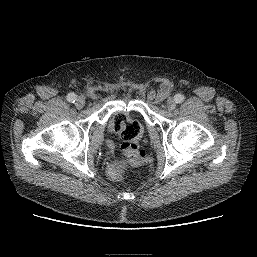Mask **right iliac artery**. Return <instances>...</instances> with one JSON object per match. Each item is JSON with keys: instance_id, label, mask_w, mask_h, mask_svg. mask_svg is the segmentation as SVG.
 <instances>
[{"instance_id": "obj_1", "label": "right iliac artery", "mask_w": 257, "mask_h": 257, "mask_svg": "<svg viewBox=\"0 0 257 257\" xmlns=\"http://www.w3.org/2000/svg\"><path fill=\"white\" fill-rule=\"evenodd\" d=\"M67 100H68L69 102H71V103H74L75 100H76V95H75L74 93H69V94L67 95Z\"/></svg>"}]
</instances>
